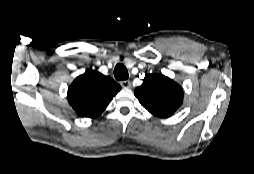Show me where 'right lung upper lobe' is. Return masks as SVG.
<instances>
[{"mask_svg":"<svg viewBox=\"0 0 254 174\" xmlns=\"http://www.w3.org/2000/svg\"><path fill=\"white\" fill-rule=\"evenodd\" d=\"M121 87L109 76L90 70L75 78L68 88V102L81 117L95 118Z\"/></svg>","mask_w":254,"mask_h":174,"instance_id":"obj_1","label":"right lung upper lobe"}]
</instances>
